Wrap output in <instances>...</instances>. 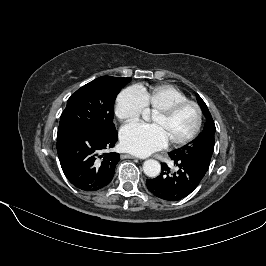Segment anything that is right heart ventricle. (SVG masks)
Masks as SVG:
<instances>
[{"mask_svg":"<svg viewBox=\"0 0 266 266\" xmlns=\"http://www.w3.org/2000/svg\"><path fill=\"white\" fill-rule=\"evenodd\" d=\"M139 89L144 97L146 108L152 112L188 100L182 91L172 85H156Z\"/></svg>","mask_w":266,"mask_h":266,"instance_id":"obj_1","label":"right heart ventricle"}]
</instances>
